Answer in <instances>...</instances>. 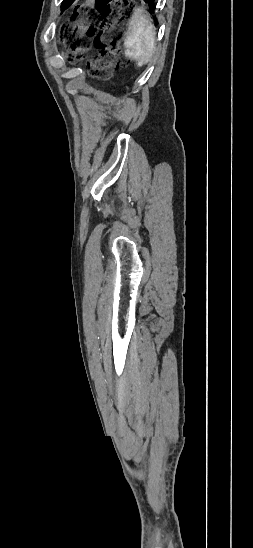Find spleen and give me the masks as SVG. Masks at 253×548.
I'll return each mask as SVG.
<instances>
[{"label":"spleen","instance_id":"obj_1","mask_svg":"<svg viewBox=\"0 0 253 548\" xmlns=\"http://www.w3.org/2000/svg\"><path fill=\"white\" fill-rule=\"evenodd\" d=\"M155 27L144 9L133 13L124 41L125 54L135 60L139 67L148 63L155 49Z\"/></svg>","mask_w":253,"mask_h":548}]
</instances>
